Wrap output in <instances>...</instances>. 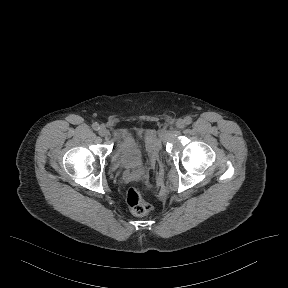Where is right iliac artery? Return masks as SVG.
Wrapping results in <instances>:
<instances>
[{
  "mask_svg": "<svg viewBox=\"0 0 288 288\" xmlns=\"http://www.w3.org/2000/svg\"><path fill=\"white\" fill-rule=\"evenodd\" d=\"M92 127L94 130H99V128H100V126L97 122L93 123Z\"/></svg>",
  "mask_w": 288,
  "mask_h": 288,
  "instance_id": "right-iliac-artery-1",
  "label": "right iliac artery"
}]
</instances>
